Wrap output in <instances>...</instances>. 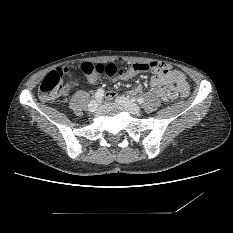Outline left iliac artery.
Here are the masks:
<instances>
[{
	"mask_svg": "<svg viewBox=\"0 0 233 233\" xmlns=\"http://www.w3.org/2000/svg\"><path fill=\"white\" fill-rule=\"evenodd\" d=\"M137 101H138V103H139V104L144 103V99H143V98H138V100H137Z\"/></svg>",
	"mask_w": 233,
	"mask_h": 233,
	"instance_id": "1",
	"label": "left iliac artery"
}]
</instances>
